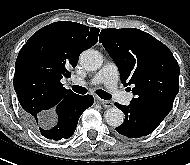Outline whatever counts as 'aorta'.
Here are the masks:
<instances>
[{"mask_svg":"<svg viewBox=\"0 0 190 165\" xmlns=\"http://www.w3.org/2000/svg\"><path fill=\"white\" fill-rule=\"evenodd\" d=\"M79 61L80 64L88 71L98 70L103 63L102 55L94 49H88L82 52ZM104 117L107 124L112 127L120 126L124 120L123 112L116 107L107 109Z\"/></svg>","mask_w":190,"mask_h":165,"instance_id":"obj_1","label":"aorta"}]
</instances>
